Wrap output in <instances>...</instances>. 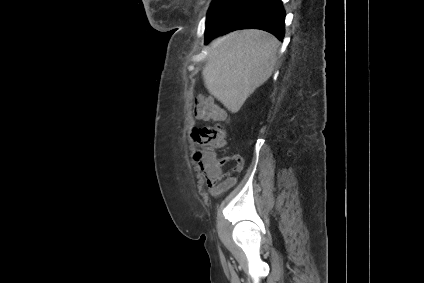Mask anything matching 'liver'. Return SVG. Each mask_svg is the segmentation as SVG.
I'll list each match as a JSON object with an SVG mask.
<instances>
[{
	"label": "liver",
	"mask_w": 424,
	"mask_h": 283,
	"mask_svg": "<svg viewBox=\"0 0 424 283\" xmlns=\"http://www.w3.org/2000/svg\"><path fill=\"white\" fill-rule=\"evenodd\" d=\"M279 41L259 29L228 33L214 40L208 51L203 79L209 93L236 113L274 70Z\"/></svg>",
	"instance_id": "liver-1"
}]
</instances>
